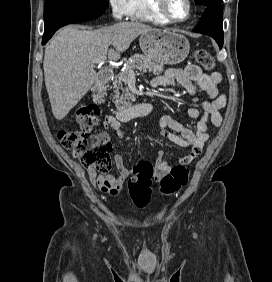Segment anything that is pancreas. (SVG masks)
Here are the masks:
<instances>
[{
    "mask_svg": "<svg viewBox=\"0 0 272 282\" xmlns=\"http://www.w3.org/2000/svg\"><path fill=\"white\" fill-rule=\"evenodd\" d=\"M137 69L143 73L150 72L154 75H160L163 71V65L152 62L149 58L144 55L135 54L126 61V67L123 71L115 76L113 87L115 88V95L113 99L115 100L116 106H125L130 104V100L133 98L127 87L123 86L127 84V79L130 70ZM122 90L120 94L119 90Z\"/></svg>",
    "mask_w": 272,
    "mask_h": 282,
    "instance_id": "cf45deb5",
    "label": "pancreas"
}]
</instances>
